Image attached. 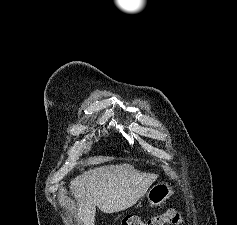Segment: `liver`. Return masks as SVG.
I'll use <instances>...</instances> for the list:
<instances>
[{
  "label": "liver",
  "instance_id": "1",
  "mask_svg": "<svg viewBox=\"0 0 237 225\" xmlns=\"http://www.w3.org/2000/svg\"><path fill=\"white\" fill-rule=\"evenodd\" d=\"M157 177L130 164L102 166L85 172L70 182L72 194L78 200V220L84 225H94L96 206L107 214L132 207Z\"/></svg>",
  "mask_w": 237,
  "mask_h": 225
}]
</instances>
